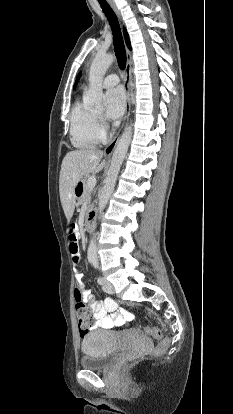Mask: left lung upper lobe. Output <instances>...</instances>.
Returning <instances> with one entry per match:
<instances>
[{"label": "left lung upper lobe", "mask_w": 233, "mask_h": 414, "mask_svg": "<svg viewBox=\"0 0 233 414\" xmlns=\"http://www.w3.org/2000/svg\"><path fill=\"white\" fill-rule=\"evenodd\" d=\"M80 75H81V74H79V75H78V77H77V80H76V82H75L74 88L76 87V84H77V82H78V80H79Z\"/></svg>", "instance_id": "obj_1"}]
</instances>
